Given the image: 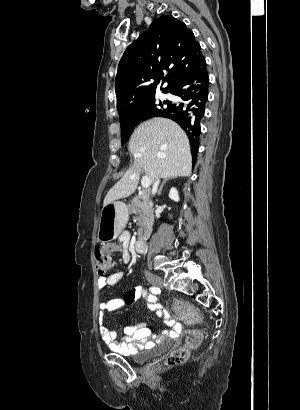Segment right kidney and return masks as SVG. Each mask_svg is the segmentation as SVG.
<instances>
[{"label":"right kidney","mask_w":300,"mask_h":410,"mask_svg":"<svg viewBox=\"0 0 300 410\" xmlns=\"http://www.w3.org/2000/svg\"><path fill=\"white\" fill-rule=\"evenodd\" d=\"M169 198L175 202L179 201V195L176 188H171L169 192Z\"/></svg>","instance_id":"1"}]
</instances>
